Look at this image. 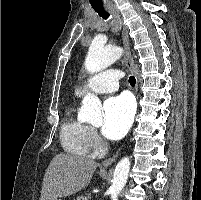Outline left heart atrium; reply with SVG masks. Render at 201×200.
Segmentation results:
<instances>
[{"label":"left heart atrium","mask_w":201,"mask_h":200,"mask_svg":"<svg viewBox=\"0 0 201 200\" xmlns=\"http://www.w3.org/2000/svg\"><path fill=\"white\" fill-rule=\"evenodd\" d=\"M134 107L126 95L109 98L104 103L103 135L111 140L121 139L133 121Z\"/></svg>","instance_id":"39dd6f15"}]
</instances>
